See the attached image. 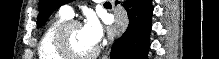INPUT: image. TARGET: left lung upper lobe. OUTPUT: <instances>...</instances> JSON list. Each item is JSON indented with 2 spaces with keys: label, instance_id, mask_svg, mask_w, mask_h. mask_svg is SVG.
<instances>
[{
  "label": "left lung upper lobe",
  "instance_id": "left-lung-upper-lobe-1",
  "mask_svg": "<svg viewBox=\"0 0 219 59\" xmlns=\"http://www.w3.org/2000/svg\"><path fill=\"white\" fill-rule=\"evenodd\" d=\"M71 1L72 0H41L39 6V15L37 17V28H40L53 13V11H55L58 7Z\"/></svg>",
  "mask_w": 219,
  "mask_h": 59
}]
</instances>
